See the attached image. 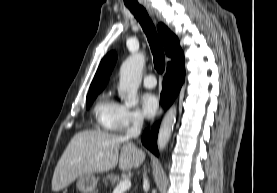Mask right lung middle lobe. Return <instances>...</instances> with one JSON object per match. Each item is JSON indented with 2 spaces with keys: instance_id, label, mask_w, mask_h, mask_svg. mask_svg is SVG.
<instances>
[{
  "instance_id": "1",
  "label": "right lung middle lobe",
  "mask_w": 277,
  "mask_h": 193,
  "mask_svg": "<svg viewBox=\"0 0 277 193\" xmlns=\"http://www.w3.org/2000/svg\"><path fill=\"white\" fill-rule=\"evenodd\" d=\"M99 92H94V93H90L87 95V103H86V108L88 109L90 107V105L92 104L93 100L96 98V96L98 95Z\"/></svg>"
}]
</instances>
